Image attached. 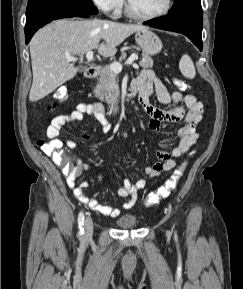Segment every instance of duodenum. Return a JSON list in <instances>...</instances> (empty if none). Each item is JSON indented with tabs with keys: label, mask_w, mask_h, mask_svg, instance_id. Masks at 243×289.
Listing matches in <instances>:
<instances>
[{
	"label": "duodenum",
	"mask_w": 243,
	"mask_h": 289,
	"mask_svg": "<svg viewBox=\"0 0 243 289\" xmlns=\"http://www.w3.org/2000/svg\"><path fill=\"white\" fill-rule=\"evenodd\" d=\"M99 71L100 68L98 66H90L85 71V77L89 79L95 78L99 74ZM135 95H137V93L135 90L132 89L130 96L126 99L125 102H118V101L112 102L110 105V111L113 113L120 112L124 108L126 103H128Z\"/></svg>",
	"instance_id": "1"
}]
</instances>
